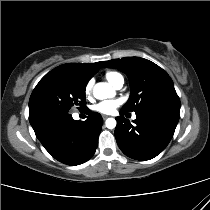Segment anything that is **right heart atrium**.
I'll list each match as a JSON object with an SVG mask.
<instances>
[{
  "label": "right heart atrium",
  "instance_id": "d8ad5b80",
  "mask_svg": "<svg viewBox=\"0 0 210 210\" xmlns=\"http://www.w3.org/2000/svg\"><path fill=\"white\" fill-rule=\"evenodd\" d=\"M93 91V81L90 80L87 82L85 88H84V94L87 98L91 97Z\"/></svg>",
  "mask_w": 210,
  "mask_h": 210
}]
</instances>
